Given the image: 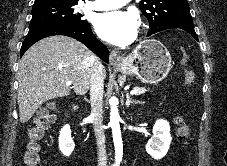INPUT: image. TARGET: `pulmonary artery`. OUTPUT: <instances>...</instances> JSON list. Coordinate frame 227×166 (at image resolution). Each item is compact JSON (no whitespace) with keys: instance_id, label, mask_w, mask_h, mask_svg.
I'll return each instance as SVG.
<instances>
[{"instance_id":"1","label":"pulmonary artery","mask_w":227,"mask_h":166,"mask_svg":"<svg viewBox=\"0 0 227 166\" xmlns=\"http://www.w3.org/2000/svg\"><path fill=\"white\" fill-rule=\"evenodd\" d=\"M131 0H93L85 4L89 10L103 11L113 10L128 4Z\"/></svg>"}]
</instances>
